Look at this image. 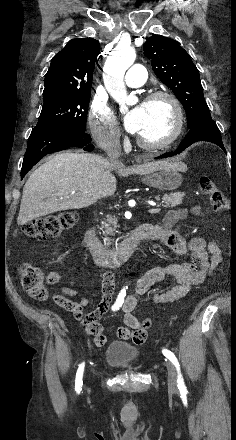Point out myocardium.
I'll return each mask as SVG.
<instances>
[{
    "instance_id": "1",
    "label": "myocardium",
    "mask_w": 236,
    "mask_h": 440,
    "mask_svg": "<svg viewBox=\"0 0 236 440\" xmlns=\"http://www.w3.org/2000/svg\"><path fill=\"white\" fill-rule=\"evenodd\" d=\"M158 99H166L170 103L174 115V126L170 135L159 142H148L138 137L136 140L137 144L141 148L147 150H160L172 145L181 136L184 128V114L177 97L166 90H155L146 96L145 102H151Z\"/></svg>"
}]
</instances>
